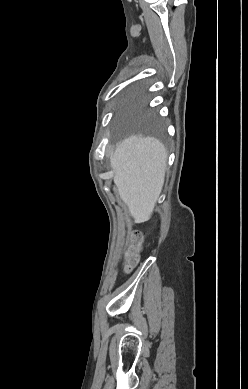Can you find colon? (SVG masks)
I'll list each match as a JSON object with an SVG mask.
<instances>
[{
  "mask_svg": "<svg viewBox=\"0 0 248 389\" xmlns=\"http://www.w3.org/2000/svg\"><path fill=\"white\" fill-rule=\"evenodd\" d=\"M142 247V238L135 233L130 239L129 251L124 262L125 271L131 270L138 262V253Z\"/></svg>",
  "mask_w": 248,
  "mask_h": 389,
  "instance_id": "1",
  "label": "colon"
}]
</instances>
